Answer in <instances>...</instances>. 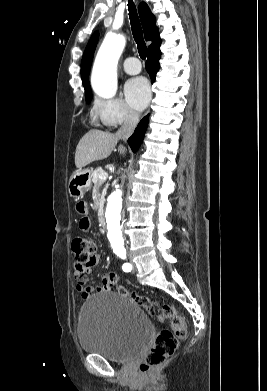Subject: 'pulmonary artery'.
<instances>
[{
  "label": "pulmonary artery",
  "instance_id": "e3ab8cb5",
  "mask_svg": "<svg viewBox=\"0 0 267 391\" xmlns=\"http://www.w3.org/2000/svg\"><path fill=\"white\" fill-rule=\"evenodd\" d=\"M123 68L127 74L135 75L141 71V64L136 57H129L125 59Z\"/></svg>",
  "mask_w": 267,
  "mask_h": 391
}]
</instances>
